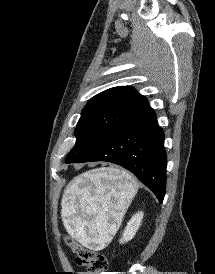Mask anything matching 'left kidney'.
I'll return each mask as SVG.
<instances>
[{
  "instance_id": "left-kidney-1",
  "label": "left kidney",
  "mask_w": 215,
  "mask_h": 274,
  "mask_svg": "<svg viewBox=\"0 0 215 274\" xmlns=\"http://www.w3.org/2000/svg\"><path fill=\"white\" fill-rule=\"evenodd\" d=\"M143 212L140 211L133 215V217L130 219V221L127 223V226L122 234V238L120 239V243H125L130 240H132L138 231L141 221L143 219ZM70 229V228H69Z\"/></svg>"
}]
</instances>
